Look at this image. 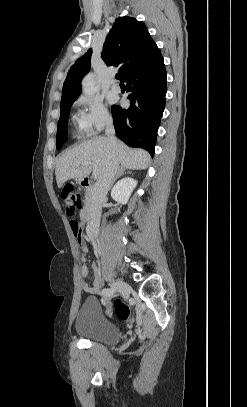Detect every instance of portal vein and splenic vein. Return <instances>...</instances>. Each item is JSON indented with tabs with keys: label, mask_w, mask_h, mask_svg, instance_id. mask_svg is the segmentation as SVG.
<instances>
[{
	"label": "portal vein and splenic vein",
	"mask_w": 247,
	"mask_h": 407,
	"mask_svg": "<svg viewBox=\"0 0 247 407\" xmlns=\"http://www.w3.org/2000/svg\"><path fill=\"white\" fill-rule=\"evenodd\" d=\"M82 165H84V166L92 165V167H93V173H92V175H93L94 177H98V176H99V170H98V168H97V166H96V164H95L94 162H84V163H82Z\"/></svg>",
	"instance_id": "18ae733b"
}]
</instances>
